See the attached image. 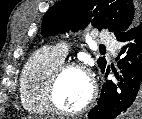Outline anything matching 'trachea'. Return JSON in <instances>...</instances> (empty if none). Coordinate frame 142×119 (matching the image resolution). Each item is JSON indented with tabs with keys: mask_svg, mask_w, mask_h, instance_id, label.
<instances>
[{
	"mask_svg": "<svg viewBox=\"0 0 142 119\" xmlns=\"http://www.w3.org/2000/svg\"><path fill=\"white\" fill-rule=\"evenodd\" d=\"M101 49H105V47H104V46H101Z\"/></svg>",
	"mask_w": 142,
	"mask_h": 119,
	"instance_id": "3493384b",
	"label": "trachea"
}]
</instances>
